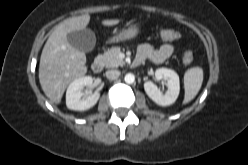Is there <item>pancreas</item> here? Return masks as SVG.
Wrapping results in <instances>:
<instances>
[{
  "label": "pancreas",
  "mask_w": 248,
  "mask_h": 165,
  "mask_svg": "<svg viewBox=\"0 0 248 165\" xmlns=\"http://www.w3.org/2000/svg\"><path fill=\"white\" fill-rule=\"evenodd\" d=\"M121 49L119 47H112L107 52L101 55L104 65L107 68H115L123 66L125 62L119 58Z\"/></svg>",
  "instance_id": "cf45deb5"
}]
</instances>
